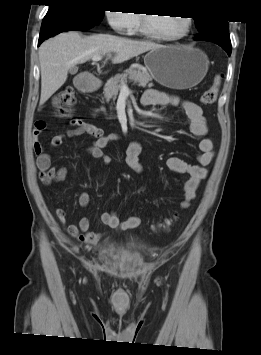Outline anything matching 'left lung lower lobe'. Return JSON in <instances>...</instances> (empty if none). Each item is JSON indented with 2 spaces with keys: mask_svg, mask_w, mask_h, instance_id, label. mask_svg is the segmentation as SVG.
Listing matches in <instances>:
<instances>
[{
  "mask_svg": "<svg viewBox=\"0 0 261 355\" xmlns=\"http://www.w3.org/2000/svg\"><path fill=\"white\" fill-rule=\"evenodd\" d=\"M220 46H221V45H220ZM221 47L225 49V51L228 53V55L231 54V48H228V47H226V46H221Z\"/></svg>",
  "mask_w": 261,
  "mask_h": 355,
  "instance_id": "obj_1",
  "label": "left lung lower lobe"
}]
</instances>
